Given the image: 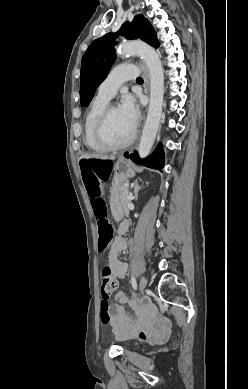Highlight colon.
<instances>
[{"mask_svg":"<svg viewBox=\"0 0 248 389\" xmlns=\"http://www.w3.org/2000/svg\"><path fill=\"white\" fill-rule=\"evenodd\" d=\"M83 167V181L86 186L92 210L97 219L99 240L98 252L104 254L113 237V227L107 218V210L103 192V182H109L110 172L113 170L111 157H81ZM117 280L114 278L111 268L106 265L101 272V322L108 325L111 322L110 305L108 299L117 288ZM114 299L124 301L128 299L127 292L118 288L114 293Z\"/></svg>","mask_w":248,"mask_h":389,"instance_id":"colon-1","label":"colon"}]
</instances>
